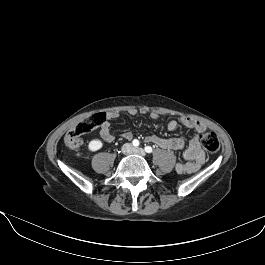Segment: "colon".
I'll return each mask as SVG.
<instances>
[{"label": "colon", "instance_id": "5ec220e1", "mask_svg": "<svg viewBox=\"0 0 265 265\" xmlns=\"http://www.w3.org/2000/svg\"><path fill=\"white\" fill-rule=\"evenodd\" d=\"M106 118L102 112H97L80 122L75 128L70 130L65 136V144L69 148H78L82 145V137L99 126ZM201 145L209 152H216L219 149V138L215 132L206 131L200 135Z\"/></svg>", "mask_w": 265, "mask_h": 265}]
</instances>
